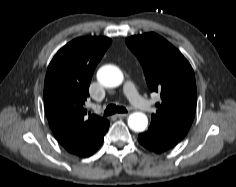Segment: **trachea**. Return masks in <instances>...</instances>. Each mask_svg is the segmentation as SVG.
Here are the masks:
<instances>
[{"label": "trachea", "mask_w": 236, "mask_h": 187, "mask_svg": "<svg viewBox=\"0 0 236 187\" xmlns=\"http://www.w3.org/2000/svg\"><path fill=\"white\" fill-rule=\"evenodd\" d=\"M115 113H127V109L123 106H116L115 104H110L106 107L104 111V116L113 115Z\"/></svg>", "instance_id": "obj_1"}]
</instances>
